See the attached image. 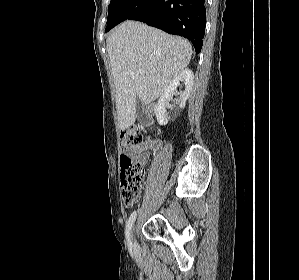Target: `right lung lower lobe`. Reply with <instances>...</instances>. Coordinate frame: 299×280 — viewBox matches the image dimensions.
Returning a JSON list of instances; mask_svg holds the SVG:
<instances>
[{"mask_svg":"<svg viewBox=\"0 0 299 280\" xmlns=\"http://www.w3.org/2000/svg\"><path fill=\"white\" fill-rule=\"evenodd\" d=\"M127 19L142 21L167 33L183 36L200 53L205 32V0H130L115 26Z\"/></svg>","mask_w":299,"mask_h":280,"instance_id":"1","label":"right lung lower lobe"}]
</instances>
